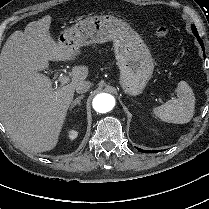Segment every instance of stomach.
<instances>
[{"instance_id":"0dacf381","label":"stomach","mask_w":209,"mask_h":209,"mask_svg":"<svg viewBox=\"0 0 209 209\" xmlns=\"http://www.w3.org/2000/svg\"><path fill=\"white\" fill-rule=\"evenodd\" d=\"M107 41H113L123 90L140 94L153 74L154 62L141 36L125 20L111 14L90 16L67 27L57 38L58 45L74 55L82 46Z\"/></svg>"}]
</instances>
